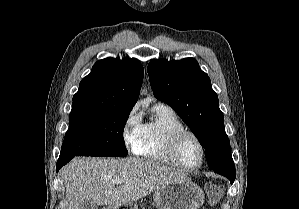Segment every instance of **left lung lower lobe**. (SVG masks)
Instances as JSON below:
<instances>
[{
    "mask_svg": "<svg viewBox=\"0 0 299 209\" xmlns=\"http://www.w3.org/2000/svg\"><path fill=\"white\" fill-rule=\"evenodd\" d=\"M214 172L227 177L230 183L235 180V166L232 156L225 160L221 165L213 168Z\"/></svg>",
    "mask_w": 299,
    "mask_h": 209,
    "instance_id": "obj_1",
    "label": "left lung lower lobe"
}]
</instances>
